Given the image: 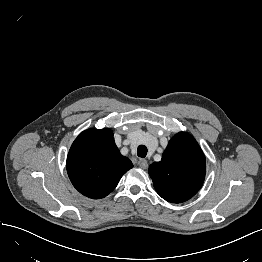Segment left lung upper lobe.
<instances>
[{
    "label": "left lung upper lobe",
    "instance_id": "left-lung-upper-lobe-1",
    "mask_svg": "<svg viewBox=\"0 0 262 262\" xmlns=\"http://www.w3.org/2000/svg\"><path fill=\"white\" fill-rule=\"evenodd\" d=\"M206 159L193 136L176 134L165 149L162 160L149 167V175L158 194L168 202L181 203L201 188Z\"/></svg>",
    "mask_w": 262,
    "mask_h": 262
}]
</instances>
